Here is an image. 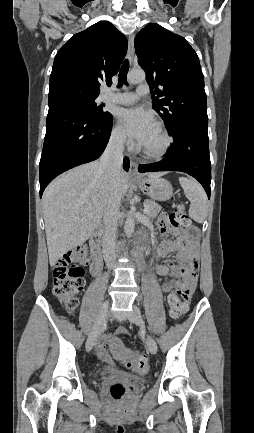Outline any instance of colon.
Masks as SVG:
<instances>
[{
    "label": "colon",
    "instance_id": "colon-1",
    "mask_svg": "<svg viewBox=\"0 0 254 433\" xmlns=\"http://www.w3.org/2000/svg\"><path fill=\"white\" fill-rule=\"evenodd\" d=\"M164 222L170 223L174 228L189 230L190 235H196V228L191 226L189 216L183 205L176 206L172 212L163 217ZM87 259V247L81 246L66 252L58 261L53 271L54 295L68 311H73L78 306V294L84 286L83 264ZM189 301V300H188ZM188 301H182L177 294L169 296L170 314L174 319L180 318L186 311ZM120 334H126L122 328ZM113 346L119 350V358L135 372L143 374L148 370V361L144 354L126 352L121 349L118 341L113 340ZM128 389L120 383L110 388V395L114 400H120L126 396Z\"/></svg>",
    "mask_w": 254,
    "mask_h": 433
}]
</instances>
